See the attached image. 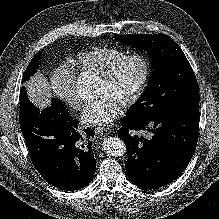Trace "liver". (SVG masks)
Returning <instances> with one entry per match:
<instances>
[{
  "mask_svg": "<svg viewBox=\"0 0 219 219\" xmlns=\"http://www.w3.org/2000/svg\"><path fill=\"white\" fill-rule=\"evenodd\" d=\"M30 101L40 110L48 107L51 103L52 88L47 78L40 72L25 83Z\"/></svg>",
  "mask_w": 219,
  "mask_h": 219,
  "instance_id": "obj_1",
  "label": "liver"
}]
</instances>
